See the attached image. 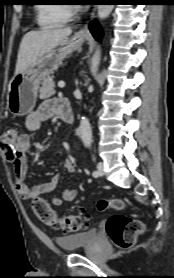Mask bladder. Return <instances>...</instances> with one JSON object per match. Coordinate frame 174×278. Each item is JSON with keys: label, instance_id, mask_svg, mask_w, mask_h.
Returning a JSON list of instances; mask_svg holds the SVG:
<instances>
[{"label": "bladder", "instance_id": "bladder-1", "mask_svg": "<svg viewBox=\"0 0 174 278\" xmlns=\"http://www.w3.org/2000/svg\"><path fill=\"white\" fill-rule=\"evenodd\" d=\"M98 238L96 229H89L55 239L56 244L64 251L72 252L84 248L95 242Z\"/></svg>", "mask_w": 174, "mask_h": 278}]
</instances>
